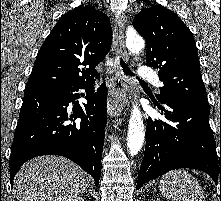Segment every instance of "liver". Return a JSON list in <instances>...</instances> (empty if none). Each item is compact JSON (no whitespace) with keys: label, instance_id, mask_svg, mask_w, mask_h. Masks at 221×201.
<instances>
[{"label":"liver","instance_id":"6515ba94","mask_svg":"<svg viewBox=\"0 0 221 201\" xmlns=\"http://www.w3.org/2000/svg\"><path fill=\"white\" fill-rule=\"evenodd\" d=\"M88 181L87 174L74 162L40 156L20 168L14 188L18 201H66L83 194Z\"/></svg>","mask_w":221,"mask_h":201}]
</instances>
